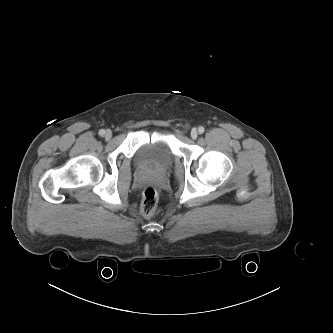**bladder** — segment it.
Segmentation results:
<instances>
[{
    "label": "bladder",
    "instance_id": "1",
    "mask_svg": "<svg viewBox=\"0 0 333 333\" xmlns=\"http://www.w3.org/2000/svg\"><path fill=\"white\" fill-rule=\"evenodd\" d=\"M173 158L171 146L164 135L143 145L136 154L138 166L147 171H165L171 167Z\"/></svg>",
    "mask_w": 333,
    "mask_h": 333
}]
</instances>
